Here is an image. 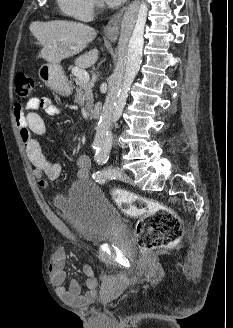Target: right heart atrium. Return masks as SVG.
Returning a JSON list of instances; mask_svg holds the SVG:
<instances>
[{
	"label": "right heart atrium",
	"mask_w": 233,
	"mask_h": 328,
	"mask_svg": "<svg viewBox=\"0 0 233 328\" xmlns=\"http://www.w3.org/2000/svg\"><path fill=\"white\" fill-rule=\"evenodd\" d=\"M60 2L64 12L80 21L91 20L101 6L99 0H60Z\"/></svg>",
	"instance_id": "right-heart-atrium-1"
}]
</instances>
